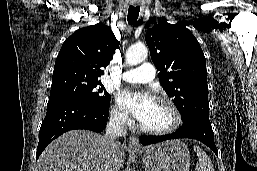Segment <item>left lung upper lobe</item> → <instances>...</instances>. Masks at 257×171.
Segmentation results:
<instances>
[{
  "label": "left lung upper lobe",
  "instance_id": "left-lung-upper-lobe-1",
  "mask_svg": "<svg viewBox=\"0 0 257 171\" xmlns=\"http://www.w3.org/2000/svg\"><path fill=\"white\" fill-rule=\"evenodd\" d=\"M145 40L159 81L181 112L183 123L209 121L207 70L204 53L192 32L184 26L160 21Z\"/></svg>",
  "mask_w": 257,
  "mask_h": 171
}]
</instances>
